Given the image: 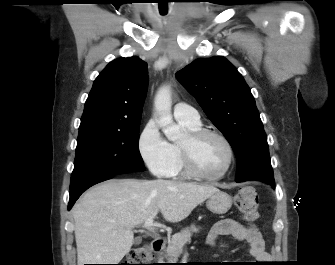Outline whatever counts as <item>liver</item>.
<instances>
[{
	"mask_svg": "<svg viewBox=\"0 0 335 265\" xmlns=\"http://www.w3.org/2000/svg\"><path fill=\"white\" fill-rule=\"evenodd\" d=\"M218 191L162 179H112L91 188L72 209L77 264H118L134 243V227L159 211L165 220L180 222Z\"/></svg>",
	"mask_w": 335,
	"mask_h": 265,
	"instance_id": "obj_1",
	"label": "liver"
}]
</instances>
